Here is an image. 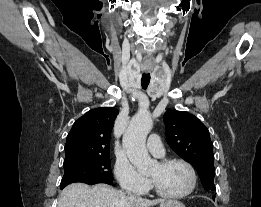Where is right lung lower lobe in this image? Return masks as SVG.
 I'll use <instances>...</instances> for the list:
<instances>
[{"instance_id": "1", "label": "right lung lower lobe", "mask_w": 261, "mask_h": 207, "mask_svg": "<svg viewBox=\"0 0 261 207\" xmlns=\"http://www.w3.org/2000/svg\"><path fill=\"white\" fill-rule=\"evenodd\" d=\"M96 183H106V184H112V181H91V182H88L87 184L89 185H93V184H96ZM64 188V187H63ZM61 188V189H63Z\"/></svg>"}]
</instances>
